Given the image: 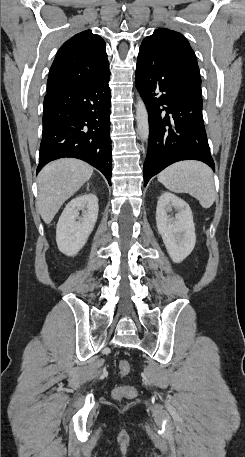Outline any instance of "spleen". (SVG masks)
<instances>
[{
    "instance_id": "spleen-1",
    "label": "spleen",
    "mask_w": 245,
    "mask_h": 457,
    "mask_svg": "<svg viewBox=\"0 0 245 457\" xmlns=\"http://www.w3.org/2000/svg\"><path fill=\"white\" fill-rule=\"evenodd\" d=\"M159 182L172 192H189L201 206L209 208L216 196L213 172L200 160H180L158 174Z\"/></svg>"
}]
</instances>
